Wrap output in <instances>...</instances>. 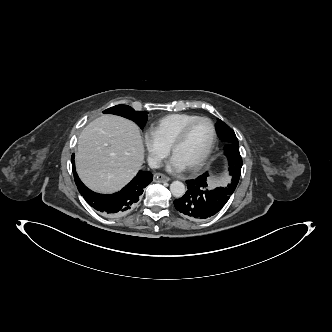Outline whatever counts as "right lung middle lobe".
Segmentation results:
<instances>
[{"label": "right lung middle lobe", "instance_id": "1", "mask_svg": "<svg viewBox=\"0 0 332 332\" xmlns=\"http://www.w3.org/2000/svg\"><path fill=\"white\" fill-rule=\"evenodd\" d=\"M103 113L115 114L123 116L134 121L140 128H143L147 120V112L135 111L128 105H117L106 109Z\"/></svg>", "mask_w": 332, "mask_h": 332}]
</instances>
